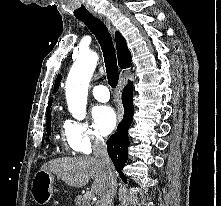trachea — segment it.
Listing matches in <instances>:
<instances>
[{"label": "trachea", "instance_id": "3493384b", "mask_svg": "<svg viewBox=\"0 0 221 206\" xmlns=\"http://www.w3.org/2000/svg\"><path fill=\"white\" fill-rule=\"evenodd\" d=\"M77 18L84 22L96 36L103 52L108 83L112 88H116L119 80V72L114 44L107 27L103 22L92 15L80 16Z\"/></svg>", "mask_w": 221, "mask_h": 206}]
</instances>
